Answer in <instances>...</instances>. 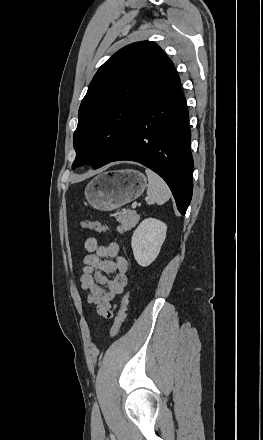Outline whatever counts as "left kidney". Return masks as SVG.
<instances>
[{
    "instance_id": "5707ae66",
    "label": "left kidney",
    "mask_w": 263,
    "mask_h": 440,
    "mask_svg": "<svg viewBox=\"0 0 263 440\" xmlns=\"http://www.w3.org/2000/svg\"><path fill=\"white\" fill-rule=\"evenodd\" d=\"M165 223L147 218L143 220L133 233L131 246L134 258L142 267L149 266L158 256L166 238Z\"/></svg>"
}]
</instances>
